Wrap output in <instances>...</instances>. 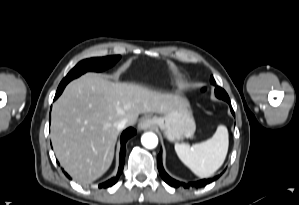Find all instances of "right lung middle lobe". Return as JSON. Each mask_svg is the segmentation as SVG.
Here are the masks:
<instances>
[{
	"instance_id": "obj_1",
	"label": "right lung middle lobe",
	"mask_w": 299,
	"mask_h": 205,
	"mask_svg": "<svg viewBox=\"0 0 299 205\" xmlns=\"http://www.w3.org/2000/svg\"><path fill=\"white\" fill-rule=\"evenodd\" d=\"M120 59V55L107 56L102 58H90L79 62L62 80L57 91L63 90L67 83L74 78L79 77L81 74L87 71H103L113 66Z\"/></svg>"
}]
</instances>
